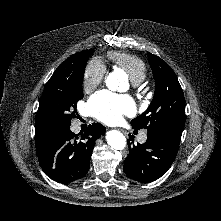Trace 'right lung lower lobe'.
I'll return each instance as SVG.
<instances>
[{"mask_svg": "<svg viewBox=\"0 0 221 221\" xmlns=\"http://www.w3.org/2000/svg\"><path fill=\"white\" fill-rule=\"evenodd\" d=\"M106 132L98 123L79 134L70 126L48 133L43 147L37 151L42 170L59 183H69L86 175L95 141Z\"/></svg>", "mask_w": 221, "mask_h": 221, "instance_id": "1", "label": "right lung lower lobe"}]
</instances>
